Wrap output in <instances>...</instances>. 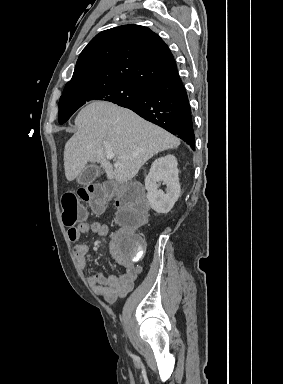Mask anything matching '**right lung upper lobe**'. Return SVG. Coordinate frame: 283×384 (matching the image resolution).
Here are the masks:
<instances>
[{"label":"right lung upper lobe","mask_w":283,"mask_h":384,"mask_svg":"<svg viewBox=\"0 0 283 384\" xmlns=\"http://www.w3.org/2000/svg\"><path fill=\"white\" fill-rule=\"evenodd\" d=\"M177 73L173 55L156 33L144 26L124 25L89 42L65 88L120 81L148 89Z\"/></svg>","instance_id":"1"}]
</instances>
